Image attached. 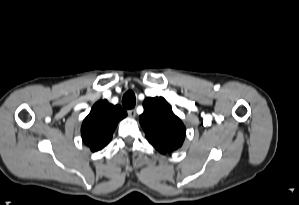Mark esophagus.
Masks as SVG:
<instances>
[{
	"label": "esophagus",
	"instance_id": "obj_1",
	"mask_svg": "<svg viewBox=\"0 0 299 205\" xmlns=\"http://www.w3.org/2000/svg\"><path fill=\"white\" fill-rule=\"evenodd\" d=\"M128 115L131 118H134L136 116V111L134 109L128 110Z\"/></svg>",
	"mask_w": 299,
	"mask_h": 205
}]
</instances>
